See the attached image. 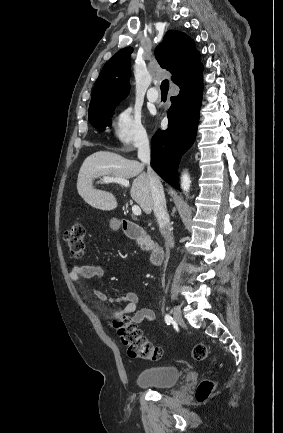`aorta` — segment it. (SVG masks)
Returning <instances> with one entry per match:
<instances>
[{
    "label": "aorta",
    "instance_id": "aorta-1",
    "mask_svg": "<svg viewBox=\"0 0 283 433\" xmlns=\"http://www.w3.org/2000/svg\"><path fill=\"white\" fill-rule=\"evenodd\" d=\"M191 185L190 176L187 172L183 173L181 176V188L184 193H188Z\"/></svg>",
    "mask_w": 283,
    "mask_h": 433
}]
</instances>
